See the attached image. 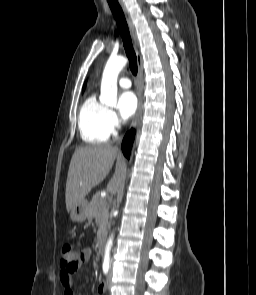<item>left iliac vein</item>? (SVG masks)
Here are the masks:
<instances>
[{
	"label": "left iliac vein",
	"mask_w": 256,
	"mask_h": 295,
	"mask_svg": "<svg viewBox=\"0 0 256 295\" xmlns=\"http://www.w3.org/2000/svg\"><path fill=\"white\" fill-rule=\"evenodd\" d=\"M111 278H112V269H110V271H109V273H108V276H107V287H108V288H110L111 285H112Z\"/></svg>",
	"instance_id": "1"
}]
</instances>
